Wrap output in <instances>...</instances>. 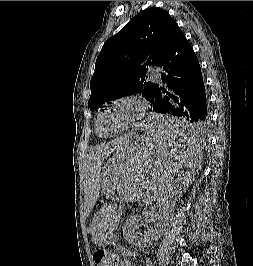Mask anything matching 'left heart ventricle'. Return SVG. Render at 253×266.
Returning <instances> with one entry per match:
<instances>
[{"label": "left heart ventricle", "instance_id": "obj_1", "mask_svg": "<svg viewBox=\"0 0 253 266\" xmlns=\"http://www.w3.org/2000/svg\"><path fill=\"white\" fill-rule=\"evenodd\" d=\"M135 108L129 103H120L105 110L98 123L102 135H112L122 129L132 118Z\"/></svg>", "mask_w": 253, "mask_h": 266}]
</instances>
